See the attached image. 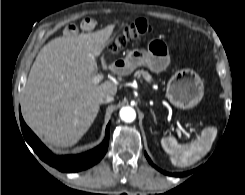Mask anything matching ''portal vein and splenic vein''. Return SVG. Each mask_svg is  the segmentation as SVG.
Wrapping results in <instances>:
<instances>
[{
    "label": "portal vein and splenic vein",
    "mask_w": 245,
    "mask_h": 195,
    "mask_svg": "<svg viewBox=\"0 0 245 195\" xmlns=\"http://www.w3.org/2000/svg\"><path fill=\"white\" fill-rule=\"evenodd\" d=\"M102 79H103V75H101V74H97V75L93 76V78H92L94 84H99ZM183 132L187 133L186 131H183Z\"/></svg>",
    "instance_id": "portal-vein-and-splenic-vein-1"
}]
</instances>
